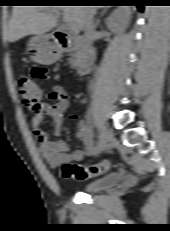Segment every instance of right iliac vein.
<instances>
[{
    "mask_svg": "<svg viewBox=\"0 0 170 231\" xmlns=\"http://www.w3.org/2000/svg\"><path fill=\"white\" fill-rule=\"evenodd\" d=\"M111 139V135L106 128V126L101 125L100 126V135H99V142H100V150L104 151L107 149L109 142Z\"/></svg>",
    "mask_w": 170,
    "mask_h": 231,
    "instance_id": "63e3f726",
    "label": "right iliac vein"
}]
</instances>
